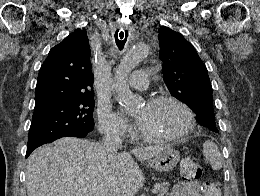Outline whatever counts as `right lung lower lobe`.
I'll return each instance as SVG.
<instances>
[{
	"mask_svg": "<svg viewBox=\"0 0 260 196\" xmlns=\"http://www.w3.org/2000/svg\"><path fill=\"white\" fill-rule=\"evenodd\" d=\"M87 134H88V133H80V134L74 135L73 137L83 138V137H85ZM33 150H34V149H33ZM33 150H32V149H27L26 157H28Z\"/></svg>",
	"mask_w": 260,
	"mask_h": 196,
	"instance_id": "98d812e1",
	"label": "right lung lower lobe"
}]
</instances>
